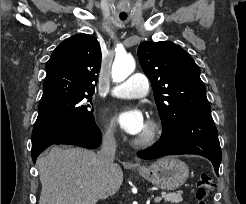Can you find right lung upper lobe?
I'll return each instance as SVG.
<instances>
[{
	"mask_svg": "<svg viewBox=\"0 0 246 204\" xmlns=\"http://www.w3.org/2000/svg\"><path fill=\"white\" fill-rule=\"evenodd\" d=\"M101 66L97 39L77 34L63 41L46 64L41 101L68 93H93Z\"/></svg>",
	"mask_w": 246,
	"mask_h": 204,
	"instance_id": "obj_1",
	"label": "right lung upper lobe"
}]
</instances>
